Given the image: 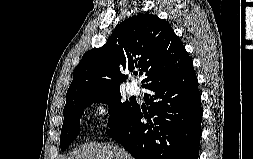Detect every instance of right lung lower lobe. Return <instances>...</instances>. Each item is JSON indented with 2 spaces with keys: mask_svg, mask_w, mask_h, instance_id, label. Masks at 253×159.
<instances>
[{
  "mask_svg": "<svg viewBox=\"0 0 253 159\" xmlns=\"http://www.w3.org/2000/svg\"><path fill=\"white\" fill-rule=\"evenodd\" d=\"M144 88L152 92L145 95L149 115L136 103L126 121L106 133L136 159H198L203 110L193 66Z\"/></svg>",
  "mask_w": 253,
  "mask_h": 159,
  "instance_id": "1",
  "label": "right lung lower lobe"
}]
</instances>
